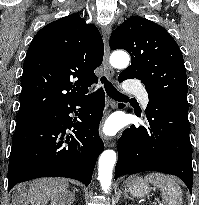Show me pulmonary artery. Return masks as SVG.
<instances>
[{"mask_svg": "<svg viewBox=\"0 0 199 205\" xmlns=\"http://www.w3.org/2000/svg\"><path fill=\"white\" fill-rule=\"evenodd\" d=\"M127 91L137 95L143 108H146L149 103V96L144 88H139L130 84L126 87Z\"/></svg>", "mask_w": 199, "mask_h": 205, "instance_id": "1", "label": "pulmonary artery"}]
</instances>
